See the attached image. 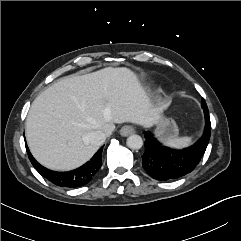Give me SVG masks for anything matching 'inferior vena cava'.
Masks as SVG:
<instances>
[{
    "label": "inferior vena cava",
    "instance_id": "obj_1",
    "mask_svg": "<svg viewBox=\"0 0 241 241\" xmlns=\"http://www.w3.org/2000/svg\"><path fill=\"white\" fill-rule=\"evenodd\" d=\"M106 137L107 135L105 132H103L102 130H97L88 134L87 139L91 144L100 146L105 142Z\"/></svg>",
    "mask_w": 241,
    "mask_h": 241
}]
</instances>
